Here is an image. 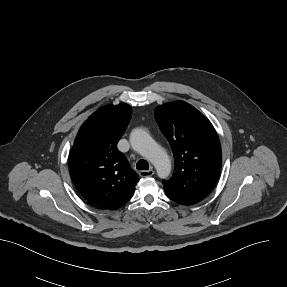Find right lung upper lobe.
<instances>
[{
  "label": "right lung upper lobe",
  "mask_w": 287,
  "mask_h": 287,
  "mask_svg": "<svg viewBox=\"0 0 287 287\" xmlns=\"http://www.w3.org/2000/svg\"><path fill=\"white\" fill-rule=\"evenodd\" d=\"M131 115L121 103L94 112L81 126L69 155V170L78 192L101 209L129 200L139 176L117 149Z\"/></svg>",
  "instance_id": "cb5924a9"
}]
</instances>
